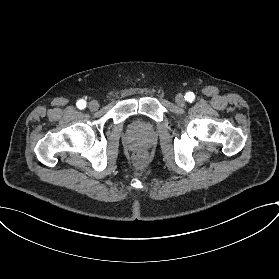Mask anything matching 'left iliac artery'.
Returning a JSON list of instances; mask_svg holds the SVG:
<instances>
[{
    "label": "left iliac artery",
    "mask_w": 279,
    "mask_h": 279,
    "mask_svg": "<svg viewBox=\"0 0 279 279\" xmlns=\"http://www.w3.org/2000/svg\"><path fill=\"white\" fill-rule=\"evenodd\" d=\"M195 99V95L193 92H187L185 95V100H187L188 102H192Z\"/></svg>",
    "instance_id": "1"
}]
</instances>
